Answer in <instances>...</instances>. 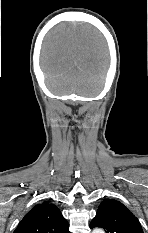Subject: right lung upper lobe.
Instances as JSON below:
<instances>
[{
    "label": "right lung upper lobe",
    "mask_w": 148,
    "mask_h": 233,
    "mask_svg": "<svg viewBox=\"0 0 148 233\" xmlns=\"http://www.w3.org/2000/svg\"><path fill=\"white\" fill-rule=\"evenodd\" d=\"M58 207L50 202L34 206L21 220L14 233H70Z\"/></svg>",
    "instance_id": "1"
}]
</instances>
